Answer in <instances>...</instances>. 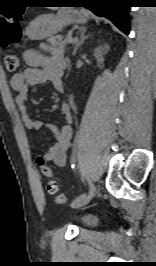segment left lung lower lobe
I'll return each mask as SVG.
<instances>
[{
    "mask_svg": "<svg viewBox=\"0 0 156 266\" xmlns=\"http://www.w3.org/2000/svg\"><path fill=\"white\" fill-rule=\"evenodd\" d=\"M72 3L86 7L98 16L108 18L122 32L129 34L128 4L130 0H73Z\"/></svg>",
    "mask_w": 156,
    "mask_h": 266,
    "instance_id": "left-lung-lower-lobe-1",
    "label": "left lung lower lobe"
}]
</instances>
